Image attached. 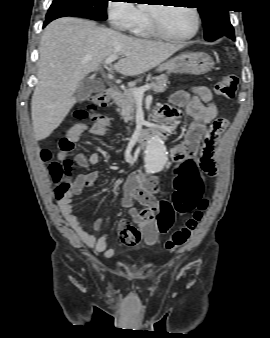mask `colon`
Instances as JSON below:
<instances>
[{"label":"colon","mask_w":270,"mask_h":338,"mask_svg":"<svg viewBox=\"0 0 270 338\" xmlns=\"http://www.w3.org/2000/svg\"><path fill=\"white\" fill-rule=\"evenodd\" d=\"M237 88V77L232 74L222 76L216 84L214 90L216 94L233 98ZM87 106L88 112L94 113L96 108H103L108 106L110 100L104 93L94 94L90 97ZM79 118L84 117L81 112L77 115ZM227 122L224 119H218L214 122L213 127L225 129ZM74 144L67 137L60 140V149L67 151L73 149ZM211 148L205 146L202 149L201 169L208 175H214L215 164L211 158ZM50 152L44 149L40 152V157L43 161L50 159ZM72 161L69 158L63 159L61 162H51L49 164V175L56 188H66L69 181L73 178ZM174 192L172 202L164 201L159 208V217L164 226L168 225L175 214H183L194 210L193 215L187 220L186 224L177 230L171 238L165 243L167 250H174L175 248L186 244L194 235L203 218L204 212L208 206L207 198L201 195L202 182L198 176H194L191 184L187 188L180 187ZM150 216L145 215V218ZM132 231V229H131Z\"/></svg>","instance_id":"obj_1"}]
</instances>
